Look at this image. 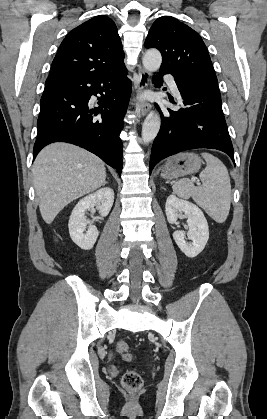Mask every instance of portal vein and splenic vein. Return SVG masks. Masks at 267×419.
I'll return each mask as SVG.
<instances>
[{"mask_svg": "<svg viewBox=\"0 0 267 419\" xmlns=\"http://www.w3.org/2000/svg\"><path fill=\"white\" fill-rule=\"evenodd\" d=\"M196 184H197V185H200V182H197Z\"/></svg>", "mask_w": 267, "mask_h": 419, "instance_id": "18ae733b", "label": "portal vein and splenic vein"}]
</instances>
